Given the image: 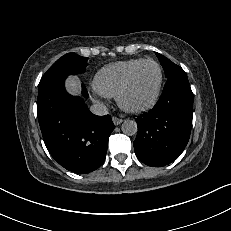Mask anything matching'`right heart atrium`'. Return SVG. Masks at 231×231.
<instances>
[{
	"label": "right heart atrium",
	"mask_w": 231,
	"mask_h": 231,
	"mask_svg": "<svg viewBox=\"0 0 231 231\" xmlns=\"http://www.w3.org/2000/svg\"><path fill=\"white\" fill-rule=\"evenodd\" d=\"M95 97L96 98H99V97H104V96H102L101 94H99L97 91L95 92Z\"/></svg>",
	"instance_id": "right-heart-atrium-1"
}]
</instances>
